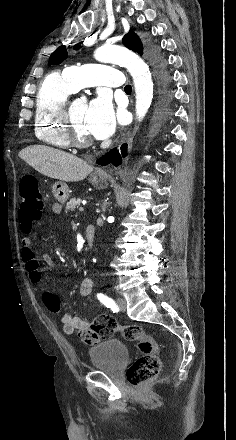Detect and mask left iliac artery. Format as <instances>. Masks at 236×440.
<instances>
[{
    "label": "left iliac artery",
    "mask_w": 236,
    "mask_h": 440,
    "mask_svg": "<svg viewBox=\"0 0 236 440\" xmlns=\"http://www.w3.org/2000/svg\"><path fill=\"white\" fill-rule=\"evenodd\" d=\"M97 298L106 307L111 308L113 310V312H117L118 311V307H117V305H116V303H115V301L113 299L109 298L108 296H106V295H104L102 293H98L97 294Z\"/></svg>",
    "instance_id": "1"
}]
</instances>
